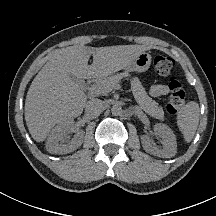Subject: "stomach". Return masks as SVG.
Returning <instances> with one entry per match:
<instances>
[{
    "label": "stomach",
    "instance_id": "obj_1",
    "mask_svg": "<svg viewBox=\"0 0 216 216\" xmlns=\"http://www.w3.org/2000/svg\"><path fill=\"white\" fill-rule=\"evenodd\" d=\"M151 61V55L149 53L142 52L124 69L126 71L145 72L149 69Z\"/></svg>",
    "mask_w": 216,
    "mask_h": 216
}]
</instances>
